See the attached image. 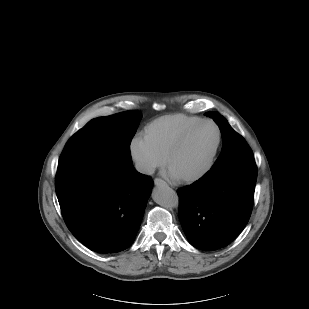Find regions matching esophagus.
Listing matches in <instances>:
<instances>
[{
  "instance_id": "obj_1",
  "label": "esophagus",
  "mask_w": 309,
  "mask_h": 309,
  "mask_svg": "<svg viewBox=\"0 0 309 309\" xmlns=\"http://www.w3.org/2000/svg\"><path fill=\"white\" fill-rule=\"evenodd\" d=\"M154 184L156 186H166L167 185V183L164 180L160 179V178H155L154 179Z\"/></svg>"
}]
</instances>
